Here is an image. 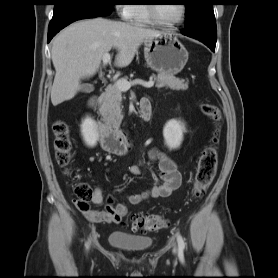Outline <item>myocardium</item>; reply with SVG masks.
I'll return each mask as SVG.
<instances>
[{
  "label": "myocardium",
  "instance_id": "1",
  "mask_svg": "<svg viewBox=\"0 0 278 278\" xmlns=\"http://www.w3.org/2000/svg\"><path fill=\"white\" fill-rule=\"evenodd\" d=\"M181 5V14H180V17L172 22V23H165V22H162L156 15V12H155V6L152 5V4H148L147 5V13H148V16H149V19L150 21L155 24V25H158V26H161V27H164V28H174L178 25H180L184 19H185V16H186V12H187V7L185 4H180Z\"/></svg>",
  "mask_w": 278,
  "mask_h": 278
}]
</instances>
